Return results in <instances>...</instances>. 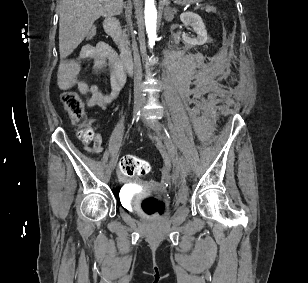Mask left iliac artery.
<instances>
[{"label":"left iliac artery","mask_w":308,"mask_h":283,"mask_svg":"<svg viewBox=\"0 0 308 283\" xmlns=\"http://www.w3.org/2000/svg\"><path fill=\"white\" fill-rule=\"evenodd\" d=\"M165 132H166V137H167L169 140H171L169 133H168L166 130H165Z\"/></svg>","instance_id":"1"}]
</instances>
